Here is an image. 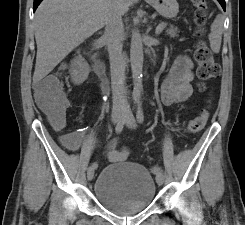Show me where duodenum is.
<instances>
[{
  "instance_id": "duodenum-1",
  "label": "duodenum",
  "mask_w": 245,
  "mask_h": 225,
  "mask_svg": "<svg viewBox=\"0 0 245 225\" xmlns=\"http://www.w3.org/2000/svg\"><path fill=\"white\" fill-rule=\"evenodd\" d=\"M94 57H96V54H94ZM94 68H95V66H94Z\"/></svg>"
}]
</instances>
